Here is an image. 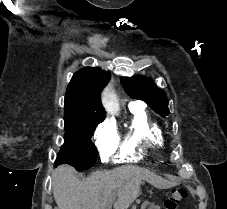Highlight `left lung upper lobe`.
Returning a JSON list of instances; mask_svg holds the SVG:
<instances>
[{
  "mask_svg": "<svg viewBox=\"0 0 227 209\" xmlns=\"http://www.w3.org/2000/svg\"><path fill=\"white\" fill-rule=\"evenodd\" d=\"M126 93L132 98L145 101L151 109L162 117L169 115L168 100L165 92L145 77H122L120 79Z\"/></svg>",
  "mask_w": 227,
  "mask_h": 209,
  "instance_id": "5c2ea615",
  "label": "left lung upper lobe"
}]
</instances>
